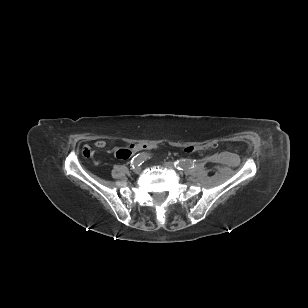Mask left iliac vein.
<instances>
[{
  "instance_id": "4c4485c4",
  "label": "left iliac vein",
  "mask_w": 308,
  "mask_h": 308,
  "mask_svg": "<svg viewBox=\"0 0 308 308\" xmlns=\"http://www.w3.org/2000/svg\"><path fill=\"white\" fill-rule=\"evenodd\" d=\"M163 165L167 168H175L174 164L172 162H164Z\"/></svg>"
}]
</instances>
